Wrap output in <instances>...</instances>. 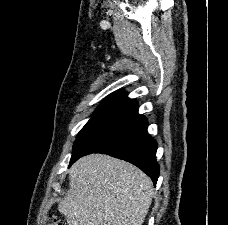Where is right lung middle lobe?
<instances>
[{
    "label": "right lung middle lobe",
    "instance_id": "1",
    "mask_svg": "<svg viewBox=\"0 0 228 225\" xmlns=\"http://www.w3.org/2000/svg\"><path fill=\"white\" fill-rule=\"evenodd\" d=\"M131 100L127 97L124 91H117L109 95L104 102L96 109L91 119L78 133L76 141L73 145V151L85 139V137L97 128L101 123L113 116L123 107H125Z\"/></svg>",
    "mask_w": 228,
    "mask_h": 225
}]
</instances>
